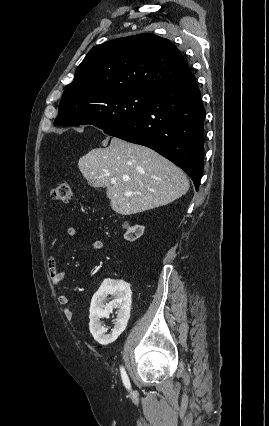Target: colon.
<instances>
[{"label":"colon","mask_w":269,"mask_h":426,"mask_svg":"<svg viewBox=\"0 0 269 426\" xmlns=\"http://www.w3.org/2000/svg\"><path fill=\"white\" fill-rule=\"evenodd\" d=\"M72 196L71 188L65 181H61L55 184L51 191V197L53 200L60 203H67L70 201Z\"/></svg>","instance_id":"5ec220e1"}]
</instances>
